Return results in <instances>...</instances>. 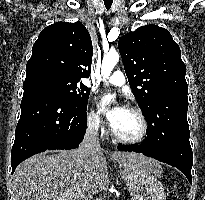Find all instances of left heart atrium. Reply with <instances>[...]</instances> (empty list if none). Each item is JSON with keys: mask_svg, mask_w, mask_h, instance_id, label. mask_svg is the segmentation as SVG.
I'll return each instance as SVG.
<instances>
[{"mask_svg": "<svg viewBox=\"0 0 205 200\" xmlns=\"http://www.w3.org/2000/svg\"><path fill=\"white\" fill-rule=\"evenodd\" d=\"M125 109L126 108L122 104L117 105L114 108H107L105 107L104 103H101V110L106 115L111 126L115 124V122Z\"/></svg>", "mask_w": 205, "mask_h": 200, "instance_id": "1", "label": "left heart atrium"}]
</instances>
